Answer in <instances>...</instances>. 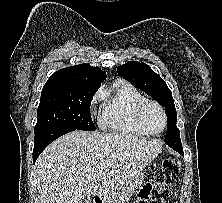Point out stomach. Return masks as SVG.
Wrapping results in <instances>:
<instances>
[{"label": "stomach", "mask_w": 222, "mask_h": 203, "mask_svg": "<svg viewBox=\"0 0 222 203\" xmlns=\"http://www.w3.org/2000/svg\"><path fill=\"white\" fill-rule=\"evenodd\" d=\"M145 176L140 172L135 178L126 182L119 190V195L117 197L108 196L106 198V203H118V200L129 199L135 190H137L144 182Z\"/></svg>", "instance_id": "stomach-1"}]
</instances>
